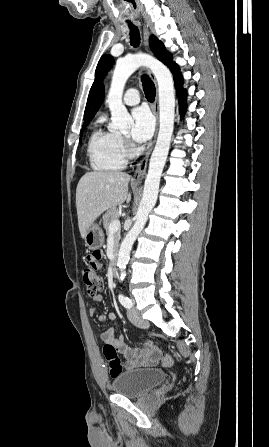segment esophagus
I'll return each instance as SVG.
<instances>
[{
  "label": "esophagus",
  "instance_id": "34e87169",
  "mask_svg": "<svg viewBox=\"0 0 269 447\" xmlns=\"http://www.w3.org/2000/svg\"><path fill=\"white\" fill-rule=\"evenodd\" d=\"M149 29L147 25H143V38H144V44L146 47H148V41H149ZM153 113L156 117V132H155V136H154V141L156 139L157 136V132H158V123H159V114H158V97H157V93H156V98H155V102L153 105ZM152 148L151 147L144 155V157L137 163L136 166V170L134 173V177H133V183H141L146 175V171H147V165H148V159L150 157V154L152 152Z\"/></svg>",
  "mask_w": 269,
  "mask_h": 447
}]
</instances>
